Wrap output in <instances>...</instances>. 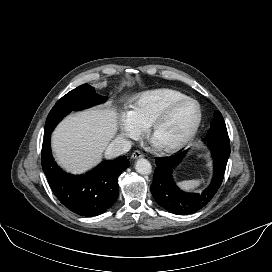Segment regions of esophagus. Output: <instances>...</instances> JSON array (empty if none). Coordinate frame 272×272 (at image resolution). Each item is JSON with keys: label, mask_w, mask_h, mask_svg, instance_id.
Segmentation results:
<instances>
[{"label": "esophagus", "mask_w": 272, "mask_h": 272, "mask_svg": "<svg viewBox=\"0 0 272 272\" xmlns=\"http://www.w3.org/2000/svg\"><path fill=\"white\" fill-rule=\"evenodd\" d=\"M143 156H144L143 153L137 150L132 153L131 158L138 159V158H142Z\"/></svg>", "instance_id": "esophagus-1"}]
</instances>
